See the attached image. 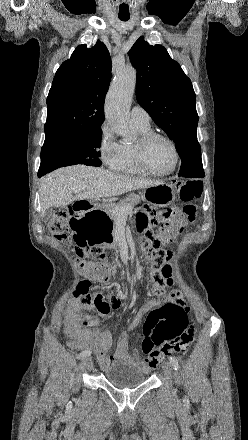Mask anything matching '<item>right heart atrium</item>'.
<instances>
[{
	"label": "right heart atrium",
	"instance_id": "d8ad5b80",
	"mask_svg": "<svg viewBox=\"0 0 248 440\" xmlns=\"http://www.w3.org/2000/svg\"><path fill=\"white\" fill-rule=\"evenodd\" d=\"M102 163L111 170H115L121 160V144L107 123L100 128V138L97 148Z\"/></svg>",
	"mask_w": 248,
	"mask_h": 440
}]
</instances>
